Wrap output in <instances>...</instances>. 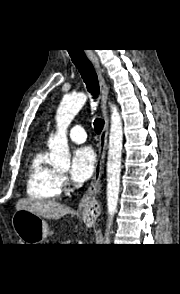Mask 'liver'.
<instances>
[{"instance_id": "liver-1", "label": "liver", "mask_w": 180, "mask_h": 294, "mask_svg": "<svg viewBox=\"0 0 180 294\" xmlns=\"http://www.w3.org/2000/svg\"><path fill=\"white\" fill-rule=\"evenodd\" d=\"M21 209L27 210L44 218L55 220L60 219L68 213H71L70 207L66 205L34 198L18 200L16 204V211Z\"/></svg>"}]
</instances>
